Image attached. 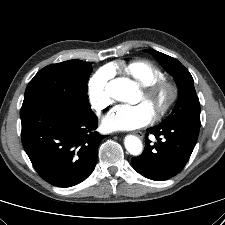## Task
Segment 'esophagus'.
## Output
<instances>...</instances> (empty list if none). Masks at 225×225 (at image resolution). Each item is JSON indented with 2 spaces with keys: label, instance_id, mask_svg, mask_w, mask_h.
<instances>
[{
  "label": "esophagus",
  "instance_id": "obj_1",
  "mask_svg": "<svg viewBox=\"0 0 225 225\" xmlns=\"http://www.w3.org/2000/svg\"><path fill=\"white\" fill-rule=\"evenodd\" d=\"M134 134L140 139L144 138V134L142 132H134Z\"/></svg>",
  "mask_w": 225,
  "mask_h": 225
}]
</instances>
